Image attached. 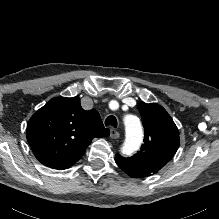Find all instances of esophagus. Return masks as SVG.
I'll use <instances>...</instances> for the list:
<instances>
[{
  "mask_svg": "<svg viewBox=\"0 0 219 219\" xmlns=\"http://www.w3.org/2000/svg\"><path fill=\"white\" fill-rule=\"evenodd\" d=\"M120 134L115 129H110V138L117 139L119 138Z\"/></svg>",
  "mask_w": 219,
  "mask_h": 219,
  "instance_id": "obj_1",
  "label": "esophagus"
}]
</instances>
